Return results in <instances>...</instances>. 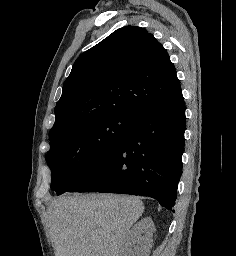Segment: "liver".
Instances as JSON below:
<instances>
[{
	"mask_svg": "<svg viewBox=\"0 0 236 256\" xmlns=\"http://www.w3.org/2000/svg\"><path fill=\"white\" fill-rule=\"evenodd\" d=\"M144 204L133 196L63 194L48 206L55 256H121Z\"/></svg>",
	"mask_w": 236,
	"mask_h": 256,
	"instance_id": "1",
	"label": "liver"
}]
</instances>
